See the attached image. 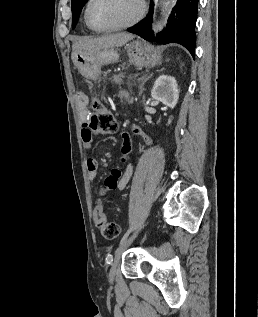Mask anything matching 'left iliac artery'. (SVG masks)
<instances>
[{
	"label": "left iliac artery",
	"mask_w": 258,
	"mask_h": 317,
	"mask_svg": "<svg viewBox=\"0 0 258 317\" xmlns=\"http://www.w3.org/2000/svg\"><path fill=\"white\" fill-rule=\"evenodd\" d=\"M130 233H131V228L128 229V230L125 232V234L122 236V238H121V240H120V245H122V244L125 242V240L128 238V236H129Z\"/></svg>",
	"instance_id": "obj_1"
}]
</instances>
